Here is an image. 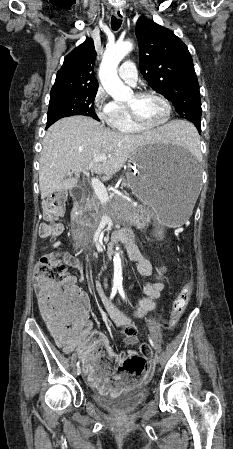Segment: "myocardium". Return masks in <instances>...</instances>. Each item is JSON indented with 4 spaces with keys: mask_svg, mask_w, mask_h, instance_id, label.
<instances>
[{
    "mask_svg": "<svg viewBox=\"0 0 233 449\" xmlns=\"http://www.w3.org/2000/svg\"><path fill=\"white\" fill-rule=\"evenodd\" d=\"M133 95H134L135 99H139L144 96H155L156 98L160 99L166 106V114H165L164 119L156 124H148V123H145L144 121H142V119L137 114V111L133 104L126 103L125 108L128 112L130 119L132 120V122L135 125H137L138 127H140L141 129H144V130H152V129H157V128L164 126L169 121V119L171 117L172 107H171V104L168 101V99L166 97H164L162 94H160L156 91H153V90H142V91L135 92Z\"/></svg>",
    "mask_w": 233,
    "mask_h": 449,
    "instance_id": "f54148a6",
    "label": "myocardium"
}]
</instances>
